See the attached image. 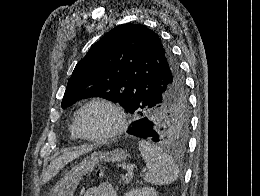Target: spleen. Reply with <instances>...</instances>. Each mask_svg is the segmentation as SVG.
<instances>
[{
  "instance_id": "3e777b00",
  "label": "spleen",
  "mask_w": 260,
  "mask_h": 196,
  "mask_svg": "<svg viewBox=\"0 0 260 196\" xmlns=\"http://www.w3.org/2000/svg\"><path fill=\"white\" fill-rule=\"evenodd\" d=\"M138 146L148 168V172L143 178L144 182L166 186V184H172L177 180L179 170L171 156L164 154L159 146L152 144V142H146V140H140Z\"/></svg>"
}]
</instances>
